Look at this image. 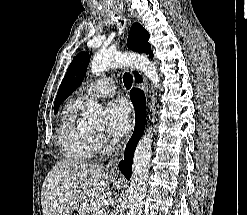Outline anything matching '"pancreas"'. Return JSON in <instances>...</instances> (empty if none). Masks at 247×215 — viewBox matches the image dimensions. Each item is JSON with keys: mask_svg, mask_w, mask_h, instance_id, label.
Listing matches in <instances>:
<instances>
[{"mask_svg": "<svg viewBox=\"0 0 247 215\" xmlns=\"http://www.w3.org/2000/svg\"><path fill=\"white\" fill-rule=\"evenodd\" d=\"M100 205L99 203L91 204L90 206H84L80 209L79 215H95L97 206Z\"/></svg>", "mask_w": 247, "mask_h": 215, "instance_id": "cf45deb5", "label": "pancreas"}]
</instances>
